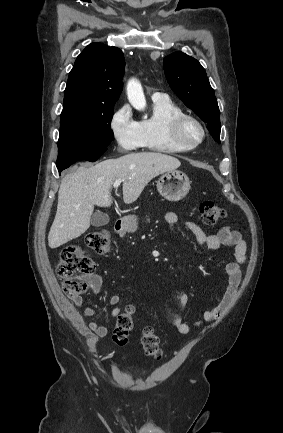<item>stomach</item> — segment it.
Returning <instances> with one entry per match:
<instances>
[{
	"label": "stomach",
	"mask_w": 283,
	"mask_h": 433,
	"mask_svg": "<svg viewBox=\"0 0 283 433\" xmlns=\"http://www.w3.org/2000/svg\"><path fill=\"white\" fill-rule=\"evenodd\" d=\"M157 188L167 200H181L186 196L187 192L190 190V180L181 170H167L163 172L157 182ZM122 225L124 231L127 233H134L137 231V219L135 214H128V217H123Z\"/></svg>",
	"instance_id": "0dacf381"
}]
</instances>
